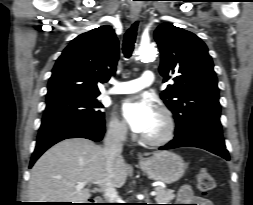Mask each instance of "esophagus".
I'll return each mask as SVG.
<instances>
[{"mask_svg": "<svg viewBox=\"0 0 253 205\" xmlns=\"http://www.w3.org/2000/svg\"><path fill=\"white\" fill-rule=\"evenodd\" d=\"M130 19H131L132 22L137 21V20L139 19V13H137V12H132V13L130 14Z\"/></svg>", "mask_w": 253, "mask_h": 205, "instance_id": "1", "label": "esophagus"}]
</instances>
